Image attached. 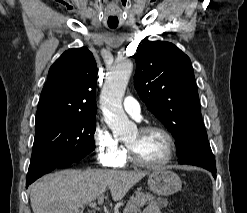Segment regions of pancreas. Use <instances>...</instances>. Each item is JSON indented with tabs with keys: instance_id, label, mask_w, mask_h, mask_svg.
I'll return each instance as SVG.
<instances>
[{
	"instance_id": "cf45deb5",
	"label": "pancreas",
	"mask_w": 247,
	"mask_h": 213,
	"mask_svg": "<svg viewBox=\"0 0 247 213\" xmlns=\"http://www.w3.org/2000/svg\"><path fill=\"white\" fill-rule=\"evenodd\" d=\"M146 204L155 205L159 208H164L168 205L167 199L156 198L152 194L135 192V195L130 197V200L127 202L126 207L123 210V213H137L140 211L141 207Z\"/></svg>"
}]
</instances>
